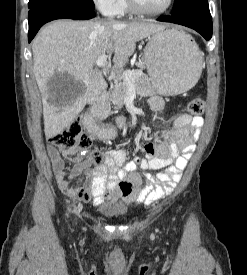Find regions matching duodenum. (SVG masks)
<instances>
[{
	"label": "duodenum",
	"mask_w": 247,
	"mask_h": 275,
	"mask_svg": "<svg viewBox=\"0 0 247 275\" xmlns=\"http://www.w3.org/2000/svg\"><path fill=\"white\" fill-rule=\"evenodd\" d=\"M108 100H109V91L105 90L102 95L100 96V99L96 105V110H105L108 108ZM89 123H92L91 121ZM121 123V121H119Z\"/></svg>",
	"instance_id": "1"
}]
</instances>
